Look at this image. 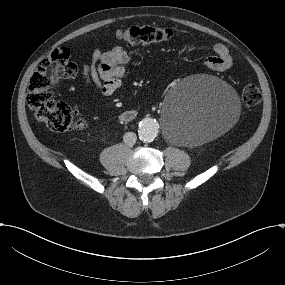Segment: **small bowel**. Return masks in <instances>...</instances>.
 <instances>
[{"label":"small bowel","instance_id":"c3829d8e","mask_svg":"<svg viewBox=\"0 0 285 285\" xmlns=\"http://www.w3.org/2000/svg\"><path fill=\"white\" fill-rule=\"evenodd\" d=\"M214 54L205 57L203 63L208 68L225 72L232 68L233 57L222 43L213 46ZM130 61L129 53L120 46L106 51L95 48L91 60L82 65V78L85 85L106 96H111L120 86Z\"/></svg>","mask_w":285,"mask_h":285}]
</instances>
